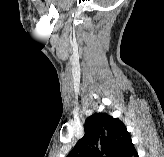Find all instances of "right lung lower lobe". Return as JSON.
Masks as SVG:
<instances>
[{"instance_id": "obj_1", "label": "right lung lower lobe", "mask_w": 164, "mask_h": 157, "mask_svg": "<svg viewBox=\"0 0 164 157\" xmlns=\"http://www.w3.org/2000/svg\"><path fill=\"white\" fill-rule=\"evenodd\" d=\"M118 157H138L137 151L135 150L131 140L126 144Z\"/></svg>"}]
</instances>
